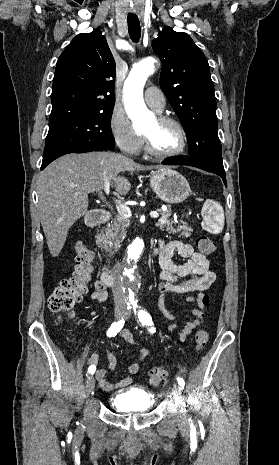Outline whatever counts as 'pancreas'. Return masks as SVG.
<instances>
[{"mask_svg":"<svg viewBox=\"0 0 279 465\" xmlns=\"http://www.w3.org/2000/svg\"><path fill=\"white\" fill-rule=\"evenodd\" d=\"M161 218L156 223L161 230H166L169 234H180L179 237L191 236L192 228L186 225L178 226L175 228L174 221L170 218L171 211H160ZM130 221L121 215L108 224L107 228L103 229L100 235L101 246L105 250L112 252L113 249L117 250L120 247L122 239L126 236V228L129 226Z\"/></svg>","mask_w":279,"mask_h":465,"instance_id":"obj_1","label":"pancreas"}]
</instances>
